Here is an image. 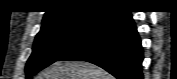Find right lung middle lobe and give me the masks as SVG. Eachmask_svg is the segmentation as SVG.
I'll use <instances>...</instances> for the list:
<instances>
[{
    "mask_svg": "<svg viewBox=\"0 0 177 79\" xmlns=\"http://www.w3.org/2000/svg\"><path fill=\"white\" fill-rule=\"evenodd\" d=\"M101 18L100 15H94L43 25L35 38L33 52L26 65L27 79L79 44Z\"/></svg>",
    "mask_w": 177,
    "mask_h": 79,
    "instance_id": "right-lung-middle-lobe-1",
    "label": "right lung middle lobe"
}]
</instances>
